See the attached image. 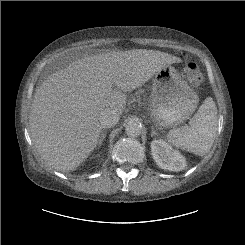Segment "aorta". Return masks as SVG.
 Listing matches in <instances>:
<instances>
[{
	"mask_svg": "<svg viewBox=\"0 0 245 245\" xmlns=\"http://www.w3.org/2000/svg\"><path fill=\"white\" fill-rule=\"evenodd\" d=\"M125 132L129 137H138L142 132V125L136 120H131L127 123Z\"/></svg>",
	"mask_w": 245,
	"mask_h": 245,
	"instance_id": "762f6f07",
	"label": "aorta"
}]
</instances>
